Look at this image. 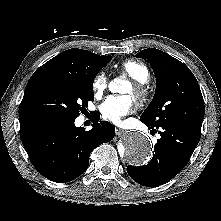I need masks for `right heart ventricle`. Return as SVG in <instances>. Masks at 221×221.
<instances>
[{"label":"right heart ventricle","instance_id":"e07e8e85","mask_svg":"<svg viewBox=\"0 0 221 221\" xmlns=\"http://www.w3.org/2000/svg\"><path fill=\"white\" fill-rule=\"evenodd\" d=\"M122 72L134 81L145 84L150 79L147 66L138 60H125L121 63Z\"/></svg>","mask_w":221,"mask_h":221}]
</instances>
